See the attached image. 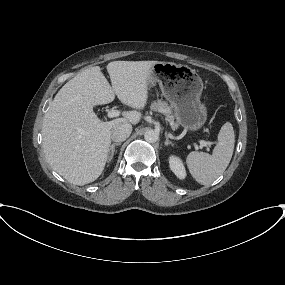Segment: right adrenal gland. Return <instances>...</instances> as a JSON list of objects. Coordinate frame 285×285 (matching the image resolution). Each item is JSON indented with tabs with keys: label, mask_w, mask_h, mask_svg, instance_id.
Returning <instances> with one entry per match:
<instances>
[{
	"label": "right adrenal gland",
	"mask_w": 285,
	"mask_h": 285,
	"mask_svg": "<svg viewBox=\"0 0 285 285\" xmlns=\"http://www.w3.org/2000/svg\"><path fill=\"white\" fill-rule=\"evenodd\" d=\"M121 143H113L108 151V161H111L113 156H114V152H115V146H120Z\"/></svg>",
	"instance_id": "obj_1"
}]
</instances>
